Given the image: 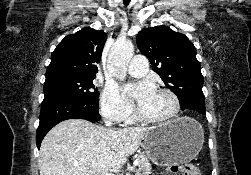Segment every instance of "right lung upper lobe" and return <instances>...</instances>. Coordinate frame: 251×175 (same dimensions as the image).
I'll return each instance as SVG.
<instances>
[{
	"mask_svg": "<svg viewBox=\"0 0 251 175\" xmlns=\"http://www.w3.org/2000/svg\"><path fill=\"white\" fill-rule=\"evenodd\" d=\"M106 39L107 34L104 31L90 27L66 36L51 55L46 77L95 76L98 69L94 63L100 61Z\"/></svg>",
	"mask_w": 251,
	"mask_h": 175,
	"instance_id": "right-lung-upper-lobe-1",
	"label": "right lung upper lobe"
}]
</instances>
